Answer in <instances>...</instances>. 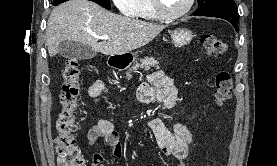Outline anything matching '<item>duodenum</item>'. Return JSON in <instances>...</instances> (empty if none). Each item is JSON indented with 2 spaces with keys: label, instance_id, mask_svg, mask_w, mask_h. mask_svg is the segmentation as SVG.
I'll return each instance as SVG.
<instances>
[{
  "label": "duodenum",
  "instance_id": "1",
  "mask_svg": "<svg viewBox=\"0 0 277 166\" xmlns=\"http://www.w3.org/2000/svg\"><path fill=\"white\" fill-rule=\"evenodd\" d=\"M110 65L114 68L120 69L122 67V64L117 60H111Z\"/></svg>",
  "mask_w": 277,
  "mask_h": 166
}]
</instances>
